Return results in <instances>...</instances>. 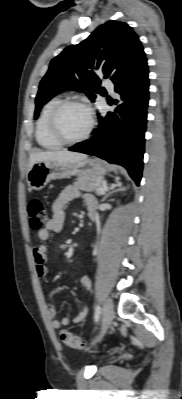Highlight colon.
Instances as JSON below:
<instances>
[{
    "label": "colon",
    "instance_id": "colon-1",
    "mask_svg": "<svg viewBox=\"0 0 182 399\" xmlns=\"http://www.w3.org/2000/svg\"><path fill=\"white\" fill-rule=\"evenodd\" d=\"M27 212L31 229L38 231L45 227L48 222V210L42 201L31 200L28 203ZM59 335L61 341L70 348L83 349L85 347V341L68 330H61Z\"/></svg>",
    "mask_w": 182,
    "mask_h": 399
}]
</instances>
